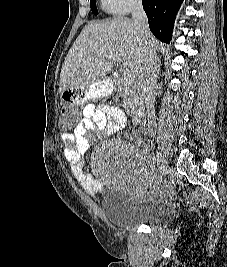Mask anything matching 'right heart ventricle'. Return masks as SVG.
<instances>
[{"label": "right heart ventricle", "mask_w": 227, "mask_h": 267, "mask_svg": "<svg viewBox=\"0 0 227 267\" xmlns=\"http://www.w3.org/2000/svg\"><path fill=\"white\" fill-rule=\"evenodd\" d=\"M102 5H103L104 9H105L107 12H109V13H116V12L114 11L113 8H111V7H109L108 5H106L103 1H102Z\"/></svg>", "instance_id": "right-heart-ventricle-1"}]
</instances>
